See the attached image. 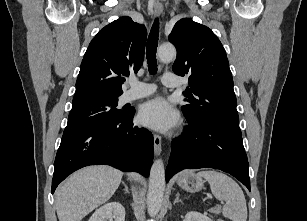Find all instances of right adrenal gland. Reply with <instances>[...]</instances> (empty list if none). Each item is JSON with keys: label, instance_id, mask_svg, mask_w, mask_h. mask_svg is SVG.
I'll return each mask as SVG.
<instances>
[{"label": "right adrenal gland", "instance_id": "1", "mask_svg": "<svg viewBox=\"0 0 307 221\" xmlns=\"http://www.w3.org/2000/svg\"><path fill=\"white\" fill-rule=\"evenodd\" d=\"M122 184L124 185V191H125L126 193H129L128 186H127L124 182H122Z\"/></svg>", "mask_w": 307, "mask_h": 221}]
</instances>
